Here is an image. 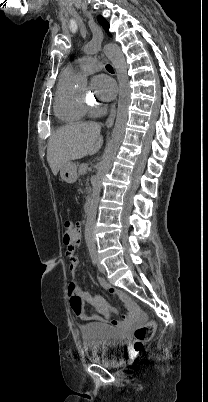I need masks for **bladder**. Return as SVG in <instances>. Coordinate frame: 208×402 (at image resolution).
Masks as SVG:
<instances>
[{
    "label": "bladder",
    "mask_w": 208,
    "mask_h": 402,
    "mask_svg": "<svg viewBox=\"0 0 208 402\" xmlns=\"http://www.w3.org/2000/svg\"><path fill=\"white\" fill-rule=\"evenodd\" d=\"M124 339L110 324L93 323L82 326V342L88 359L100 364L115 363L113 357L122 349Z\"/></svg>",
    "instance_id": "31cf9c89"
}]
</instances>
